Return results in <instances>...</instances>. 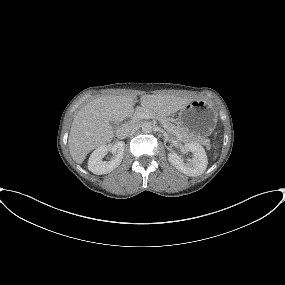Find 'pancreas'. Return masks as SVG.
I'll use <instances>...</instances> for the list:
<instances>
[{
  "label": "pancreas",
  "mask_w": 285,
  "mask_h": 285,
  "mask_svg": "<svg viewBox=\"0 0 285 285\" xmlns=\"http://www.w3.org/2000/svg\"><path fill=\"white\" fill-rule=\"evenodd\" d=\"M144 112H147V113H151L152 115H156L153 111H144ZM137 116V114H136ZM158 118V120L160 122H163L165 123L169 130H167L170 134L172 135H177L179 134L182 138V140H189L191 142H197V143H201L203 145H206V146H209V140L208 139H205V138H192V139H188V138H191L185 131L182 127L179 126V124L177 123L176 120L172 119V118H166V117H163L161 115H157L156 116Z\"/></svg>",
  "instance_id": "1"
}]
</instances>
